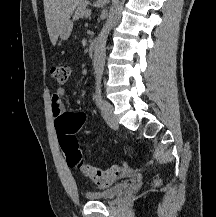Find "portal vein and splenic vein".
I'll list each match as a JSON object with an SVG mask.
<instances>
[{
  "mask_svg": "<svg viewBox=\"0 0 216 217\" xmlns=\"http://www.w3.org/2000/svg\"><path fill=\"white\" fill-rule=\"evenodd\" d=\"M90 14H91V10H89V9H88V10H86V14H85V15H86V17H89V16H90Z\"/></svg>",
  "mask_w": 216,
  "mask_h": 217,
  "instance_id": "portal-vein-and-splenic-vein-1",
  "label": "portal vein and splenic vein"
}]
</instances>
